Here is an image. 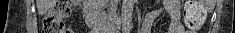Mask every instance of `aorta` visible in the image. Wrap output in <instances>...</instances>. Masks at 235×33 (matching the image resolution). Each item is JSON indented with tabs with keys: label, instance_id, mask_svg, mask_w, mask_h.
<instances>
[{
	"label": "aorta",
	"instance_id": "obj_1",
	"mask_svg": "<svg viewBox=\"0 0 235 33\" xmlns=\"http://www.w3.org/2000/svg\"><path fill=\"white\" fill-rule=\"evenodd\" d=\"M134 0H123L121 9V20L124 28H128L132 21Z\"/></svg>",
	"mask_w": 235,
	"mask_h": 33
}]
</instances>
